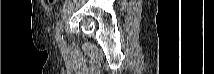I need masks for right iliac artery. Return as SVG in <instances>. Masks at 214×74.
Segmentation results:
<instances>
[{"mask_svg": "<svg viewBox=\"0 0 214 74\" xmlns=\"http://www.w3.org/2000/svg\"><path fill=\"white\" fill-rule=\"evenodd\" d=\"M56 40H57V43H58L59 47H61V49H64L65 48V44H64L63 35H62V24H61V21H59L57 23Z\"/></svg>", "mask_w": 214, "mask_h": 74, "instance_id": "obj_1", "label": "right iliac artery"}]
</instances>
